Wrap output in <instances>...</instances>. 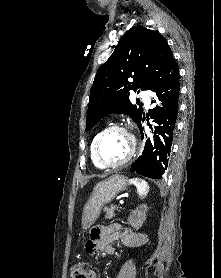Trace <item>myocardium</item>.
Returning <instances> with one entry per match:
<instances>
[{"label":"myocardium","mask_w":221,"mask_h":278,"mask_svg":"<svg viewBox=\"0 0 221 278\" xmlns=\"http://www.w3.org/2000/svg\"><path fill=\"white\" fill-rule=\"evenodd\" d=\"M112 131H120L123 132L124 134H126L130 140V150L128 155L120 162L115 163V164H107L105 162L102 161L100 155H99V146H100V142L103 139V137L112 132ZM136 148H137V141L135 136L133 135V133L131 131H129L127 128L120 126V125H112L109 126L107 128H105L103 131H101L95 142H94V148H93V153H94V158L96 160V162L105 169H117L120 167H123L124 165H126L135 155L136 152Z\"/></svg>","instance_id":"obj_1"}]
</instances>
